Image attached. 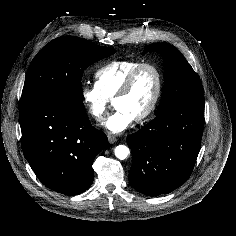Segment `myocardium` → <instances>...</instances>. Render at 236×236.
Segmentation results:
<instances>
[{"label":"myocardium","mask_w":236,"mask_h":236,"mask_svg":"<svg viewBox=\"0 0 236 236\" xmlns=\"http://www.w3.org/2000/svg\"><path fill=\"white\" fill-rule=\"evenodd\" d=\"M145 68H150L154 71L157 79V88L150 106L142 114L134 118L136 122H142L150 118L155 113L159 105L163 93V74L160 68L155 63L152 62L141 63L129 73V75L124 80L121 88L113 98V102H116L117 100L125 97L130 91L136 77Z\"/></svg>","instance_id":"myocardium-1"}]
</instances>
